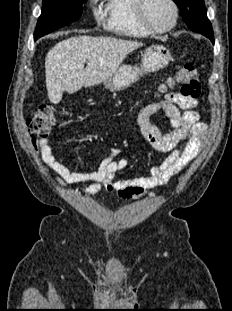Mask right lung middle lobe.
Here are the masks:
<instances>
[{
	"mask_svg": "<svg viewBox=\"0 0 232 311\" xmlns=\"http://www.w3.org/2000/svg\"><path fill=\"white\" fill-rule=\"evenodd\" d=\"M87 0H43L42 13L38 19L34 39L63 27L80 18L82 5Z\"/></svg>",
	"mask_w": 232,
	"mask_h": 311,
	"instance_id": "1",
	"label": "right lung middle lobe"
}]
</instances>
